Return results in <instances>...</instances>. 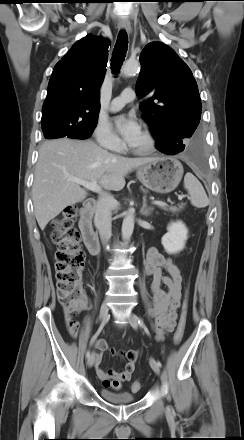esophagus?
<instances>
[{"label":"esophagus","mask_w":244,"mask_h":440,"mask_svg":"<svg viewBox=\"0 0 244 440\" xmlns=\"http://www.w3.org/2000/svg\"><path fill=\"white\" fill-rule=\"evenodd\" d=\"M119 28L127 31L128 33L131 32V24L128 19H121L119 21Z\"/></svg>","instance_id":"34e87169"}]
</instances>
